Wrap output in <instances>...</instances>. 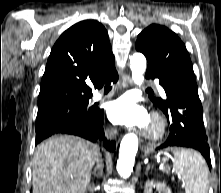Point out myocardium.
<instances>
[{
    "instance_id": "obj_1",
    "label": "myocardium",
    "mask_w": 221,
    "mask_h": 193,
    "mask_svg": "<svg viewBox=\"0 0 221 193\" xmlns=\"http://www.w3.org/2000/svg\"><path fill=\"white\" fill-rule=\"evenodd\" d=\"M150 121L154 123L155 128L153 130L145 128L142 132L143 136L153 142L162 139L166 132V124L163 118L158 113H153L150 117Z\"/></svg>"
}]
</instances>
